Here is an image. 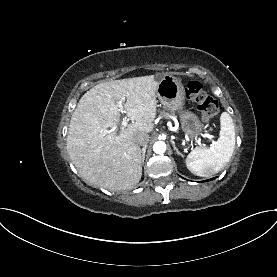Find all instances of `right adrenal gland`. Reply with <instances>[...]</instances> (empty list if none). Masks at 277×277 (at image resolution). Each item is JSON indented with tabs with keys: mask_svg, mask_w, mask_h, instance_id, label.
<instances>
[{
	"mask_svg": "<svg viewBox=\"0 0 277 277\" xmlns=\"http://www.w3.org/2000/svg\"><path fill=\"white\" fill-rule=\"evenodd\" d=\"M146 149H147L146 146L142 148V165L144 164Z\"/></svg>",
	"mask_w": 277,
	"mask_h": 277,
	"instance_id": "right-adrenal-gland-1",
	"label": "right adrenal gland"
}]
</instances>
